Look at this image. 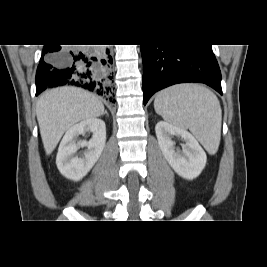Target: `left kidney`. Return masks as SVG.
<instances>
[{"instance_id": "left-kidney-1", "label": "left kidney", "mask_w": 267, "mask_h": 267, "mask_svg": "<svg viewBox=\"0 0 267 267\" xmlns=\"http://www.w3.org/2000/svg\"><path fill=\"white\" fill-rule=\"evenodd\" d=\"M155 131L159 147L173 170L188 180L198 177L206 165L207 156L194 136L164 121L156 124ZM174 136L184 141L182 150L175 148Z\"/></svg>"}]
</instances>
